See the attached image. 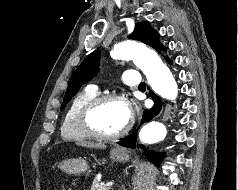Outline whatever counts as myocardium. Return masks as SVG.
I'll return each mask as SVG.
<instances>
[{"label": "myocardium", "mask_w": 238, "mask_h": 190, "mask_svg": "<svg viewBox=\"0 0 238 190\" xmlns=\"http://www.w3.org/2000/svg\"><path fill=\"white\" fill-rule=\"evenodd\" d=\"M112 100H119L127 104V100L123 95L112 92L97 95L82 108L79 114L78 122L81 130L88 137L96 140L112 141L123 137L132 128L134 121L132 114H130L127 124L121 130L115 133H104L96 128L93 122L95 112L99 109L101 105Z\"/></svg>", "instance_id": "1"}]
</instances>
